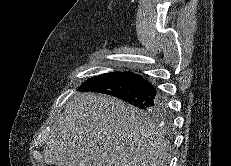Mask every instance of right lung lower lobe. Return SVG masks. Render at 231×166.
I'll return each mask as SVG.
<instances>
[{
    "instance_id": "1",
    "label": "right lung lower lobe",
    "mask_w": 231,
    "mask_h": 166,
    "mask_svg": "<svg viewBox=\"0 0 231 166\" xmlns=\"http://www.w3.org/2000/svg\"><path fill=\"white\" fill-rule=\"evenodd\" d=\"M79 91H94L112 95L140 109L159 114L164 126H171L166 101L142 76L130 72H110L89 78Z\"/></svg>"
}]
</instances>
